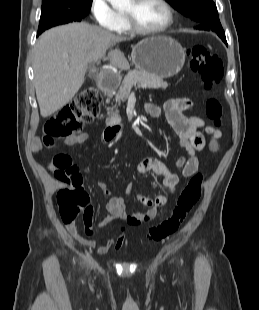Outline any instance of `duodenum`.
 Instances as JSON below:
<instances>
[{
    "instance_id": "410a0bca",
    "label": "duodenum",
    "mask_w": 259,
    "mask_h": 310,
    "mask_svg": "<svg viewBox=\"0 0 259 310\" xmlns=\"http://www.w3.org/2000/svg\"><path fill=\"white\" fill-rule=\"evenodd\" d=\"M119 80L120 79L118 76L110 74L100 77L99 85L102 90L108 93L118 85ZM121 128V124H119L118 122H112L105 129L103 136L108 140L113 139L120 133Z\"/></svg>"
}]
</instances>
